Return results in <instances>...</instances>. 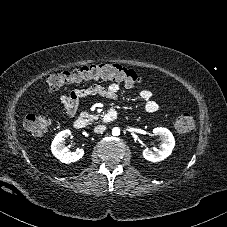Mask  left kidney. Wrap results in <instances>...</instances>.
<instances>
[{
  "mask_svg": "<svg viewBox=\"0 0 227 227\" xmlns=\"http://www.w3.org/2000/svg\"><path fill=\"white\" fill-rule=\"evenodd\" d=\"M153 133L155 135H159L162 140L160 149H158L155 152L149 149H144L143 157L148 161L158 162L164 160L172 153V150L175 146V140L172 133L167 128L163 127L154 128Z\"/></svg>",
  "mask_w": 227,
  "mask_h": 227,
  "instance_id": "left-kidney-1",
  "label": "left kidney"
}]
</instances>
